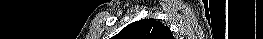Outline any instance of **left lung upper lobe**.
I'll return each instance as SVG.
<instances>
[{
  "label": "left lung upper lobe",
  "instance_id": "1",
  "mask_svg": "<svg viewBox=\"0 0 263 39\" xmlns=\"http://www.w3.org/2000/svg\"><path fill=\"white\" fill-rule=\"evenodd\" d=\"M116 39H174L170 29L155 19H142L124 27Z\"/></svg>",
  "mask_w": 263,
  "mask_h": 39
}]
</instances>
